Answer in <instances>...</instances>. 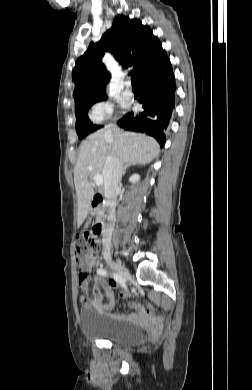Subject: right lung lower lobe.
Returning <instances> with one entry per match:
<instances>
[{"instance_id": "98d812e1", "label": "right lung lower lobe", "mask_w": 252, "mask_h": 390, "mask_svg": "<svg viewBox=\"0 0 252 390\" xmlns=\"http://www.w3.org/2000/svg\"><path fill=\"white\" fill-rule=\"evenodd\" d=\"M138 85L139 102L144 111L137 115L127 113L118 124L126 130L153 136L164 146L165 130L175 107L176 85L172 66L159 74L143 78Z\"/></svg>"}]
</instances>
